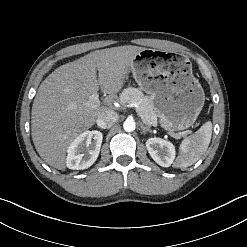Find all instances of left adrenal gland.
Masks as SVG:
<instances>
[{"label":"left adrenal gland","instance_id":"obj_1","mask_svg":"<svg viewBox=\"0 0 247 247\" xmlns=\"http://www.w3.org/2000/svg\"><path fill=\"white\" fill-rule=\"evenodd\" d=\"M140 127L142 129V133L146 134V132H152L150 128L143 125V123H140Z\"/></svg>","mask_w":247,"mask_h":247}]
</instances>
